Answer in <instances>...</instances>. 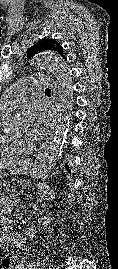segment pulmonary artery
<instances>
[{
    "instance_id": "pulmonary-artery-1",
    "label": "pulmonary artery",
    "mask_w": 118,
    "mask_h": 269,
    "mask_svg": "<svg viewBox=\"0 0 118 269\" xmlns=\"http://www.w3.org/2000/svg\"><path fill=\"white\" fill-rule=\"evenodd\" d=\"M49 86L50 81L45 76L22 78L0 95V108L5 111H11L25 99L30 90H42Z\"/></svg>"
}]
</instances>
